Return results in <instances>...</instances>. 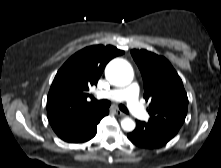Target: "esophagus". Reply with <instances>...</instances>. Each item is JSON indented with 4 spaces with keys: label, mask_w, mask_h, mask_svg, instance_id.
Wrapping results in <instances>:
<instances>
[{
    "label": "esophagus",
    "mask_w": 221,
    "mask_h": 168,
    "mask_svg": "<svg viewBox=\"0 0 221 168\" xmlns=\"http://www.w3.org/2000/svg\"><path fill=\"white\" fill-rule=\"evenodd\" d=\"M115 114L120 116V117H125L126 114L124 112H122L121 110L119 109H115Z\"/></svg>",
    "instance_id": "obj_1"
}]
</instances>
